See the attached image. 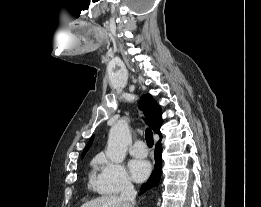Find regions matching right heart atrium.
Masks as SVG:
<instances>
[{"label": "right heart atrium", "mask_w": 261, "mask_h": 207, "mask_svg": "<svg viewBox=\"0 0 261 207\" xmlns=\"http://www.w3.org/2000/svg\"><path fill=\"white\" fill-rule=\"evenodd\" d=\"M99 173L93 179L95 189L105 195L116 194L133 187L125 167L100 155L98 158Z\"/></svg>", "instance_id": "1"}]
</instances>
